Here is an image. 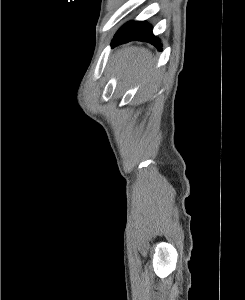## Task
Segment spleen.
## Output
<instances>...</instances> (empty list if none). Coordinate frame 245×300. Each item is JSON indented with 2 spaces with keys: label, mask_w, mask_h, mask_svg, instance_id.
Wrapping results in <instances>:
<instances>
[{
  "label": "spleen",
  "mask_w": 245,
  "mask_h": 300,
  "mask_svg": "<svg viewBox=\"0 0 245 300\" xmlns=\"http://www.w3.org/2000/svg\"><path fill=\"white\" fill-rule=\"evenodd\" d=\"M116 58L119 59L120 67L126 70H139L140 73H145L152 61V54L144 49L127 48L117 53Z\"/></svg>",
  "instance_id": "3e777b00"
}]
</instances>
